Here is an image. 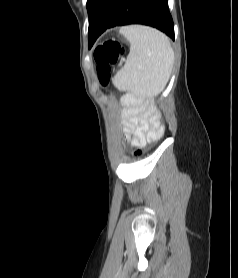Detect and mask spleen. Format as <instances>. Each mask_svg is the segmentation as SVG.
Segmentation results:
<instances>
[{
	"mask_svg": "<svg viewBox=\"0 0 238 278\" xmlns=\"http://www.w3.org/2000/svg\"><path fill=\"white\" fill-rule=\"evenodd\" d=\"M120 33L130 42L125 65L113 78L122 91L158 94L165 88L174 63L168 37L143 25L124 26Z\"/></svg>",
	"mask_w": 238,
	"mask_h": 278,
	"instance_id": "obj_1",
	"label": "spleen"
}]
</instances>
